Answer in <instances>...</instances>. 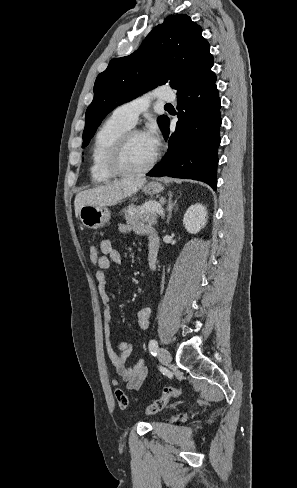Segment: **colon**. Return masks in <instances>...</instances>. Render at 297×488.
Returning a JSON list of instances; mask_svg holds the SVG:
<instances>
[{
    "label": "colon",
    "instance_id": "5ec220e1",
    "mask_svg": "<svg viewBox=\"0 0 297 488\" xmlns=\"http://www.w3.org/2000/svg\"><path fill=\"white\" fill-rule=\"evenodd\" d=\"M100 256H101L100 250L96 246L92 245L90 247V260H91V262L93 264H97L99 259H100ZM180 395H181V389L180 388L165 387L163 389L162 396L159 399H157L156 401H154L151 405L148 406V408L146 409V413L148 415H153V414H156V413L162 411L166 407L168 401L171 398L178 397ZM115 398H116L117 404H118L120 409L125 410L128 408L129 398H128L127 394L122 389H117L115 391Z\"/></svg>",
    "mask_w": 297,
    "mask_h": 488
}]
</instances>
